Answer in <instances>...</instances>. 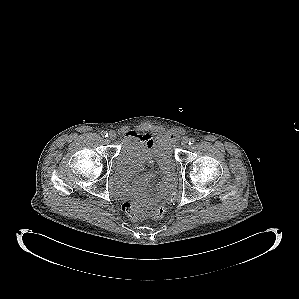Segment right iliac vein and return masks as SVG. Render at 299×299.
Masks as SVG:
<instances>
[{"label": "right iliac vein", "instance_id": "63e3f726", "mask_svg": "<svg viewBox=\"0 0 299 299\" xmlns=\"http://www.w3.org/2000/svg\"><path fill=\"white\" fill-rule=\"evenodd\" d=\"M109 139L110 140H115L116 139V133L115 132H113V131H111L110 133H109Z\"/></svg>", "mask_w": 299, "mask_h": 299}]
</instances>
